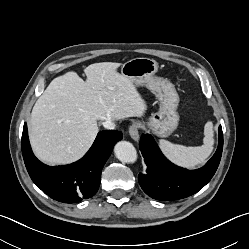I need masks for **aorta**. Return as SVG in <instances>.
<instances>
[{
    "instance_id": "obj_1",
    "label": "aorta",
    "mask_w": 249,
    "mask_h": 249,
    "mask_svg": "<svg viewBox=\"0 0 249 249\" xmlns=\"http://www.w3.org/2000/svg\"><path fill=\"white\" fill-rule=\"evenodd\" d=\"M114 153L116 158L123 163H134L137 160V151L128 141H119L114 147Z\"/></svg>"
}]
</instances>
